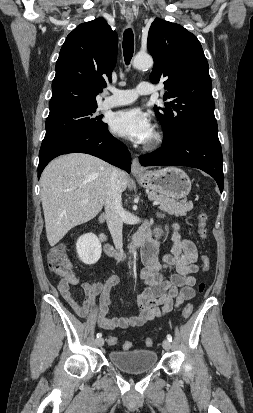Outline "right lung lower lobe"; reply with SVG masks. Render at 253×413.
<instances>
[{"label":"right lung lower lobe","mask_w":253,"mask_h":413,"mask_svg":"<svg viewBox=\"0 0 253 413\" xmlns=\"http://www.w3.org/2000/svg\"><path fill=\"white\" fill-rule=\"evenodd\" d=\"M74 152L91 154L128 173L131 171V154L110 134L106 124L93 132H68L45 137L39 153L38 178L53 158Z\"/></svg>","instance_id":"98d812e1"}]
</instances>
